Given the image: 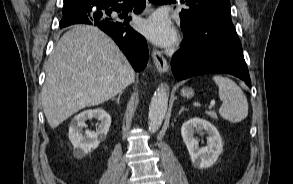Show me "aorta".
<instances>
[{
	"instance_id": "762f6f07",
	"label": "aorta",
	"mask_w": 293,
	"mask_h": 184,
	"mask_svg": "<svg viewBox=\"0 0 293 184\" xmlns=\"http://www.w3.org/2000/svg\"><path fill=\"white\" fill-rule=\"evenodd\" d=\"M169 92L166 85H161L155 91L149 106V131L155 133L161 126L168 107Z\"/></svg>"
}]
</instances>
